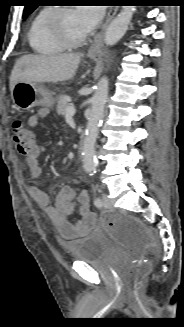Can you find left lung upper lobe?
Instances as JSON below:
<instances>
[{
  "mask_svg": "<svg viewBox=\"0 0 184 327\" xmlns=\"http://www.w3.org/2000/svg\"><path fill=\"white\" fill-rule=\"evenodd\" d=\"M27 5L25 6L24 12H23V18H27L28 15H30L37 7L35 4V0H27Z\"/></svg>",
  "mask_w": 184,
  "mask_h": 327,
  "instance_id": "1",
  "label": "left lung upper lobe"
}]
</instances>
